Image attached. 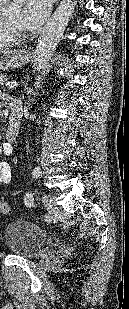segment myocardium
I'll list each match as a JSON object with an SVG mask.
<instances>
[{
    "label": "myocardium",
    "mask_w": 129,
    "mask_h": 309,
    "mask_svg": "<svg viewBox=\"0 0 129 309\" xmlns=\"http://www.w3.org/2000/svg\"><path fill=\"white\" fill-rule=\"evenodd\" d=\"M2 22L4 26L5 32L13 37H16L18 34L21 33L16 27L13 25V23L10 21V19L7 17L6 13H2Z\"/></svg>",
    "instance_id": "f54148a6"
}]
</instances>
